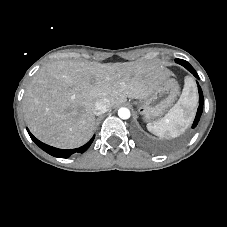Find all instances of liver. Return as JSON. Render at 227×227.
<instances>
[{
	"mask_svg": "<svg viewBox=\"0 0 227 227\" xmlns=\"http://www.w3.org/2000/svg\"><path fill=\"white\" fill-rule=\"evenodd\" d=\"M172 74L157 63L57 61L40 68L23 97L30 131L58 148L85 144L95 126V102L108 98L117 107L127 97L146 99Z\"/></svg>",
	"mask_w": 227,
	"mask_h": 227,
	"instance_id": "6515ba94",
	"label": "liver"
}]
</instances>
